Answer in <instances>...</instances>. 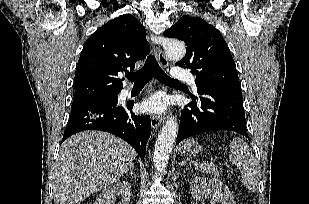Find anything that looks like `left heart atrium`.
Returning a JSON list of instances; mask_svg holds the SVG:
<instances>
[{"mask_svg":"<svg viewBox=\"0 0 309 204\" xmlns=\"http://www.w3.org/2000/svg\"><path fill=\"white\" fill-rule=\"evenodd\" d=\"M141 108L145 112L162 114L167 108V101L163 95L156 94L146 99Z\"/></svg>","mask_w":309,"mask_h":204,"instance_id":"1","label":"left heart atrium"}]
</instances>
